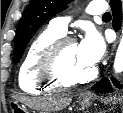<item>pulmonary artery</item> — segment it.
Segmentation results:
<instances>
[{
	"mask_svg": "<svg viewBox=\"0 0 123 113\" xmlns=\"http://www.w3.org/2000/svg\"><path fill=\"white\" fill-rule=\"evenodd\" d=\"M106 1H93L87 8V13L91 15L103 14L106 11ZM69 18L68 17H56L50 21V28L64 34L67 31Z\"/></svg>",
	"mask_w": 123,
	"mask_h": 113,
	"instance_id": "e3ab8cb5",
	"label": "pulmonary artery"
}]
</instances>
